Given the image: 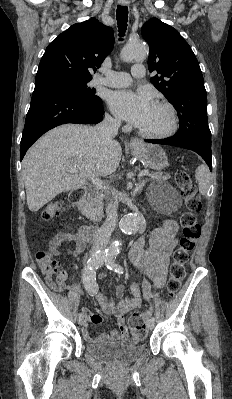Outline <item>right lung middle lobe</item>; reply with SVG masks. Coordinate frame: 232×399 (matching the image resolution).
<instances>
[{
  "label": "right lung middle lobe",
  "instance_id": "1",
  "mask_svg": "<svg viewBox=\"0 0 232 399\" xmlns=\"http://www.w3.org/2000/svg\"><path fill=\"white\" fill-rule=\"evenodd\" d=\"M90 80L74 79V78H56L46 82H53L60 84L61 86L72 90L80 99L89 103H98L101 101L97 95H95V89L87 87V83Z\"/></svg>",
  "mask_w": 232,
  "mask_h": 399
}]
</instances>
